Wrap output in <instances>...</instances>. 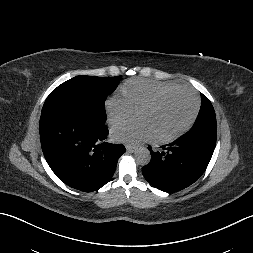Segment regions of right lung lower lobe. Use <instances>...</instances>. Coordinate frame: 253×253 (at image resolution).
Listing matches in <instances>:
<instances>
[{
    "label": "right lung lower lobe",
    "instance_id": "obj_1",
    "mask_svg": "<svg viewBox=\"0 0 253 253\" xmlns=\"http://www.w3.org/2000/svg\"><path fill=\"white\" fill-rule=\"evenodd\" d=\"M40 140L43 154L55 175L68 186L91 192L113 176L125 152L122 144L105 142V123L74 111L41 114Z\"/></svg>",
    "mask_w": 253,
    "mask_h": 253
}]
</instances>
